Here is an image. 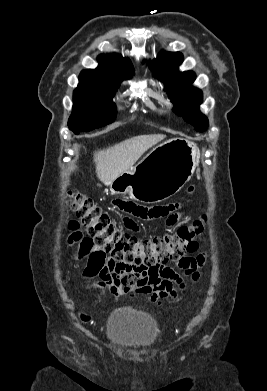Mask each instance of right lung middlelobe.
I'll return each instance as SVG.
<instances>
[{"label":"right lung middle lobe","instance_id":"right-lung-middle-lobe-1","mask_svg":"<svg viewBox=\"0 0 267 391\" xmlns=\"http://www.w3.org/2000/svg\"><path fill=\"white\" fill-rule=\"evenodd\" d=\"M114 94L79 85L73 94V111L68 126L75 134L105 126L116 118Z\"/></svg>","mask_w":267,"mask_h":391}]
</instances>
